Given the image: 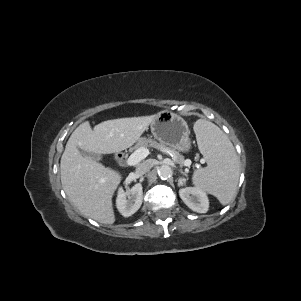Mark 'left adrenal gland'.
<instances>
[{"label": "left adrenal gland", "instance_id": "a2214340", "mask_svg": "<svg viewBox=\"0 0 301 301\" xmlns=\"http://www.w3.org/2000/svg\"><path fill=\"white\" fill-rule=\"evenodd\" d=\"M180 173H181V174H183V175H186V173H185V172H183L182 170H180Z\"/></svg>", "mask_w": 301, "mask_h": 301}]
</instances>
